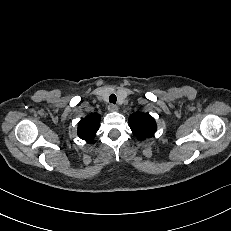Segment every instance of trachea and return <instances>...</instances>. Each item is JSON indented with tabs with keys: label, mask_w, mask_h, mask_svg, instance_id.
I'll return each mask as SVG.
<instances>
[{
	"label": "trachea",
	"mask_w": 231,
	"mask_h": 231,
	"mask_svg": "<svg viewBox=\"0 0 231 231\" xmlns=\"http://www.w3.org/2000/svg\"><path fill=\"white\" fill-rule=\"evenodd\" d=\"M117 101V97L115 94H111L109 97V102L115 104Z\"/></svg>",
	"instance_id": "3493384b"
}]
</instances>
